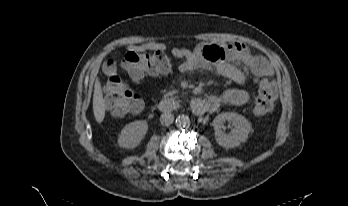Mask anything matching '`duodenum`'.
I'll list each match as a JSON object with an SVG mask.
<instances>
[{
  "label": "duodenum",
  "mask_w": 348,
  "mask_h": 206,
  "mask_svg": "<svg viewBox=\"0 0 348 206\" xmlns=\"http://www.w3.org/2000/svg\"><path fill=\"white\" fill-rule=\"evenodd\" d=\"M187 105L191 108L194 115H203L211 110L213 102L210 98L204 99L193 97L189 100ZM184 104L174 99H164L158 103V109L162 113H172L180 110Z\"/></svg>",
  "instance_id": "duodenum-1"
}]
</instances>
